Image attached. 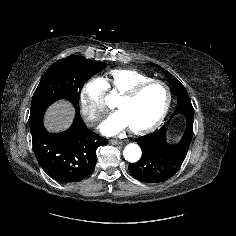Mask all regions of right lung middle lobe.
<instances>
[{
	"label": "right lung middle lobe",
	"mask_w": 236,
	"mask_h": 236,
	"mask_svg": "<svg viewBox=\"0 0 236 236\" xmlns=\"http://www.w3.org/2000/svg\"><path fill=\"white\" fill-rule=\"evenodd\" d=\"M105 63L72 55L55 62L43 75L35 90L30 115L45 112L47 107L59 99L70 101L79 112L80 92L85 82L100 72Z\"/></svg>",
	"instance_id": "right-lung-middle-lobe-1"
}]
</instances>
